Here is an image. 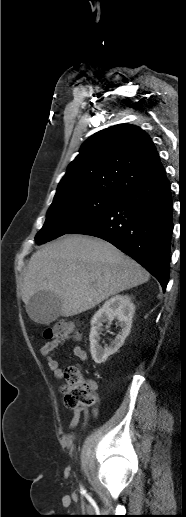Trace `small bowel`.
Wrapping results in <instances>:
<instances>
[{"label":"small bowel","instance_id":"small-bowel-1","mask_svg":"<svg viewBox=\"0 0 186 517\" xmlns=\"http://www.w3.org/2000/svg\"><path fill=\"white\" fill-rule=\"evenodd\" d=\"M63 342V339H54L52 341L45 343L40 349L41 355L47 360L50 370L57 378L62 377L63 370L58 360L54 357V351L57 350L63 344ZM73 354L82 362H85L87 360L86 352L79 345H75L73 347ZM96 414L97 411L95 408L91 411L86 408L75 409L69 423V428L75 429L78 426L81 419V415L84 416V425H86L89 419L91 417L96 416Z\"/></svg>","mask_w":186,"mask_h":517}]
</instances>
